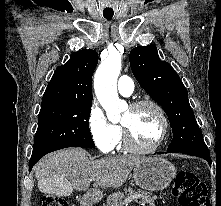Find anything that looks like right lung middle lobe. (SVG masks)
Wrapping results in <instances>:
<instances>
[{
	"label": "right lung middle lobe",
	"mask_w": 221,
	"mask_h": 206,
	"mask_svg": "<svg viewBox=\"0 0 221 206\" xmlns=\"http://www.w3.org/2000/svg\"><path fill=\"white\" fill-rule=\"evenodd\" d=\"M91 105L41 109L31 157L67 147H95L88 122Z\"/></svg>",
	"instance_id": "right-lung-middle-lobe-1"
}]
</instances>
